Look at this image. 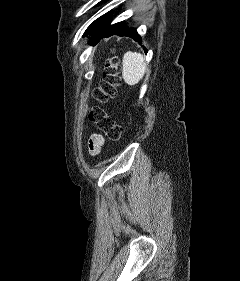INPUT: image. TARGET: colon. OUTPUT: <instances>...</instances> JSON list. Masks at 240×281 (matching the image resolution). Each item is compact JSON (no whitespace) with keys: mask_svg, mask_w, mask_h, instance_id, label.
Segmentation results:
<instances>
[{"mask_svg":"<svg viewBox=\"0 0 240 281\" xmlns=\"http://www.w3.org/2000/svg\"><path fill=\"white\" fill-rule=\"evenodd\" d=\"M119 84L118 60L116 57H111L106 62L100 84L94 91L95 99L101 104L107 103L116 95ZM88 118L109 139L113 141L120 140L122 128L100 106H92L88 111Z\"/></svg>","mask_w":240,"mask_h":281,"instance_id":"colon-1","label":"colon"}]
</instances>
